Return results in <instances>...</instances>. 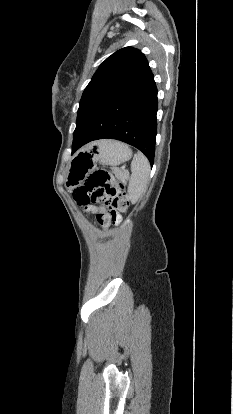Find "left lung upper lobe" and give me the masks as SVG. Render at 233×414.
<instances>
[{
  "label": "left lung upper lobe",
  "instance_id": "obj_1",
  "mask_svg": "<svg viewBox=\"0 0 233 414\" xmlns=\"http://www.w3.org/2000/svg\"><path fill=\"white\" fill-rule=\"evenodd\" d=\"M149 71L148 61L140 50L125 47L116 51L99 66L85 88L78 115L92 103L126 89Z\"/></svg>",
  "mask_w": 233,
  "mask_h": 414
}]
</instances>
